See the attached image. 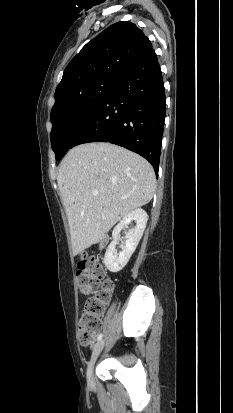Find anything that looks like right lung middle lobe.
<instances>
[{
    "mask_svg": "<svg viewBox=\"0 0 233 413\" xmlns=\"http://www.w3.org/2000/svg\"><path fill=\"white\" fill-rule=\"evenodd\" d=\"M115 77L93 80L58 98L51 111V146L56 160H60L71 147L77 135L100 106Z\"/></svg>",
    "mask_w": 233,
    "mask_h": 413,
    "instance_id": "obj_1",
    "label": "right lung middle lobe"
}]
</instances>
